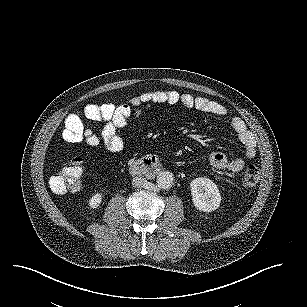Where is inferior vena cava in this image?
<instances>
[{"label": "inferior vena cava", "mask_w": 307, "mask_h": 307, "mask_svg": "<svg viewBox=\"0 0 307 307\" xmlns=\"http://www.w3.org/2000/svg\"><path fill=\"white\" fill-rule=\"evenodd\" d=\"M147 185V180L144 177L136 176L132 179V186L134 188H143Z\"/></svg>", "instance_id": "obj_1"}]
</instances>
